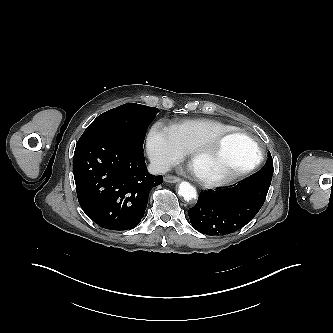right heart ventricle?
Returning <instances> with one entry per match:
<instances>
[{
    "label": "right heart ventricle",
    "instance_id": "1",
    "mask_svg": "<svg viewBox=\"0 0 333 333\" xmlns=\"http://www.w3.org/2000/svg\"><path fill=\"white\" fill-rule=\"evenodd\" d=\"M232 128L223 122L207 118L186 119L176 122L170 127L186 152L212 136Z\"/></svg>",
    "mask_w": 333,
    "mask_h": 333
}]
</instances>
